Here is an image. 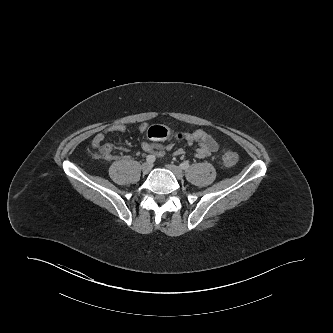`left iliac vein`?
I'll use <instances>...</instances> for the list:
<instances>
[{"label":"left iliac vein","mask_w":333,"mask_h":333,"mask_svg":"<svg viewBox=\"0 0 333 333\" xmlns=\"http://www.w3.org/2000/svg\"><path fill=\"white\" fill-rule=\"evenodd\" d=\"M166 168L169 169L177 179L183 178V171L181 170L180 167L173 164H168L166 165Z\"/></svg>","instance_id":"obj_1"}]
</instances>
